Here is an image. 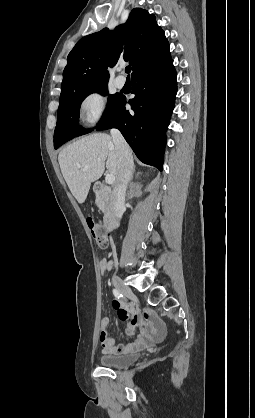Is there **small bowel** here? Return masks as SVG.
Instances as JSON below:
<instances>
[{
  "instance_id": "c3829d8e",
  "label": "small bowel",
  "mask_w": 255,
  "mask_h": 418,
  "mask_svg": "<svg viewBox=\"0 0 255 418\" xmlns=\"http://www.w3.org/2000/svg\"><path fill=\"white\" fill-rule=\"evenodd\" d=\"M110 268L111 262L108 259H102L99 262V269L102 273L110 270ZM112 306L117 311L120 320L128 321V335L135 334L138 325L143 321H150V317L147 314L142 315L136 306L125 304L117 300V298L113 301ZM108 326L109 319L107 316H103L101 319L99 343L102 352L108 355L126 354L141 349L150 342L161 340L166 333V329L162 323H151L141 331V334L134 342L126 345H115L114 338L108 334Z\"/></svg>"
}]
</instances>
